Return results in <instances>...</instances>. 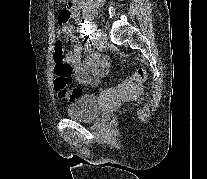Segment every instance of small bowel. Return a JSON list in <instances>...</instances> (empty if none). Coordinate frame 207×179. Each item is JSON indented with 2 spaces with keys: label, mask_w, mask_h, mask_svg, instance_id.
<instances>
[{
  "label": "small bowel",
  "mask_w": 207,
  "mask_h": 179,
  "mask_svg": "<svg viewBox=\"0 0 207 179\" xmlns=\"http://www.w3.org/2000/svg\"><path fill=\"white\" fill-rule=\"evenodd\" d=\"M83 0H69L67 6L58 15L60 26L58 35L66 37L67 41L73 44V50L66 55V60L75 73L76 81L83 85L96 86L102 79L107 77L111 69V61L106 56L92 51L90 43H80L73 35L74 26L68 24L70 17L78 20L79 29L84 28L85 23L79 20ZM88 54L82 60L81 52Z\"/></svg>",
  "instance_id": "c3829d8e"
}]
</instances>
